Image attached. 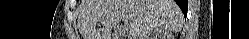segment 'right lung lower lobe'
Here are the masks:
<instances>
[{
    "instance_id": "obj_1",
    "label": "right lung lower lobe",
    "mask_w": 249,
    "mask_h": 39,
    "mask_svg": "<svg viewBox=\"0 0 249 39\" xmlns=\"http://www.w3.org/2000/svg\"><path fill=\"white\" fill-rule=\"evenodd\" d=\"M178 6L181 8L184 16L187 15L188 10V0H176Z\"/></svg>"
}]
</instances>
